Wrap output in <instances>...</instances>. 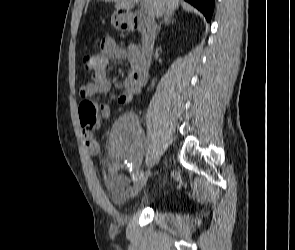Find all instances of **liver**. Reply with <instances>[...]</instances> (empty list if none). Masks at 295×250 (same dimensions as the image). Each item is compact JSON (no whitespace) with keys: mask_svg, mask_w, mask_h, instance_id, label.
<instances>
[{"mask_svg":"<svg viewBox=\"0 0 295 250\" xmlns=\"http://www.w3.org/2000/svg\"><path fill=\"white\" fill-rule=\"evenodd\" d=\"M106 2H115V8L118 10H131L136 2L143 1L151 6L153 13L157 17L165 14H173L179 6V0H105Z\"/></svg>","mask_w":295,"mask_h":250,"instance_id":"6515ba94","label":"liver"}]
</instances>
